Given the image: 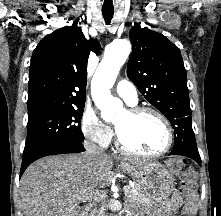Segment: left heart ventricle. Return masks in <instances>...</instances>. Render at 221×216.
Masks as SVG:
<instances>
[{
	"label": "left heart ventricle",
	"instance_id": "obj_1",
	"mask_svg": "<svg viewBox=\"0 0 221 216\" xmlns=\"http://www.w3.org/2000/svg\"><path fill=\"white\" fill-rule=\"evenodd\" d=\"M115 127L122 141L137 151L143 153L157 152L166 144L165 127L152 114L132 116L124 111L118 116Z\"/></svg>",
	"mask_w": 221,
	"mask_h": 216
}]
</instances>
